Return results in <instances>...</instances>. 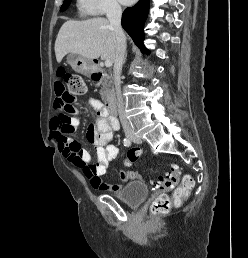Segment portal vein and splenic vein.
<instances>
[{"label": "portal vein and splenic vein", "instance_id": "portal-vein-and-splenic-vein-1", "mask_svg": "<svg viewBox=\"0 0 248 258\" xmlns=\"http://www.w3.org/2000/svg\"><path fill=\"white\" fill-rule=\"evenodd\" d=\"M105 66L106 67H111L112 66V61L110 59L105 60Z\"/></svg>", "mask_w": 248, "mask_h": 258}]
</instances>
